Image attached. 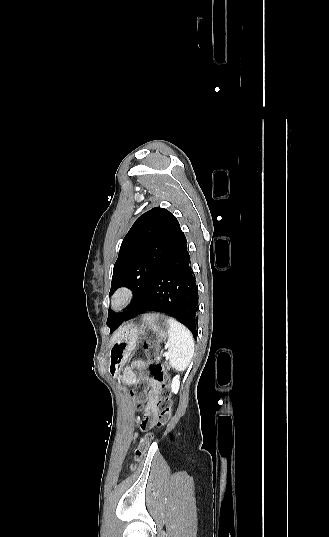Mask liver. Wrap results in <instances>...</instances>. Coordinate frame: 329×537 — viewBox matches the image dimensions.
<instances>
[{"mask_svg": "<svg viewBox=\"0 0 329 537\" xmlns=\"http://www.w3.org/2000/svg\"><path fill=\"white\" fill-rule=\"evenodd\" d=\"M128 326L121 327L117 330L116 333H114L113 337L111 338V344L119 337V335L127 328Z\"/></svg>", "mask_w": 329, "mask_h": 537, "instance_id": "6515ba94", "label": "liver"}]
</instances>
